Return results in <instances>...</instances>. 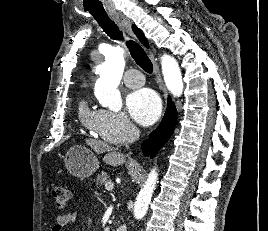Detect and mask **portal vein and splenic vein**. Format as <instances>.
Wrapping results in <instances>:
<instances>
[{
  "label": "portal vein and splenic vein",
  "mask_w": 268,
  "mask_h": 231,
  "mask_svg": "<svg viewBox=\"0 0 268 231\" xmlns=\"http://www.w3.org/2000/svg\"><path fill=\"white\" fill-rule=\"evenodd\" d=\"M113 187H114V184H113L112 182L107 181V182L105 183V189H106L107 191H111V190H113Z\"/></svg>",
  "instance_id": "portal-vein-and-splenic-vein-1"
}]
</instances>
